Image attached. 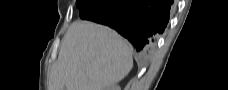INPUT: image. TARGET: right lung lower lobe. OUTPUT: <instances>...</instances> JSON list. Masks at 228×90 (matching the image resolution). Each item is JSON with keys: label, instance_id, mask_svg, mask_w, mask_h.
<instances>
[{"label": "right lung lower lobe", "instance_id": "obj_1", "mask_svg": "<svg viewBox=\"0 0 228 90\" xmlns=\"http://www.w3.org/2000/svg\"><path fill=\"white\" fill-rule=\"evenodd\" d=\"M172 5V0H104L81 18L113 28L145 58L166 28Z\"/></svg>", "mask_w": 228, "mask_h": 90}]
</instances>
